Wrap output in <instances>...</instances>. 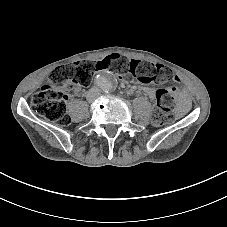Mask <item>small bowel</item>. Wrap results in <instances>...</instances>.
Wrapping results in <instances>:
<instances>
[{"mask_svg": "<svg viewBox=\"0 0 227 227\" xmlns=\"http://www.w3.org/2000/svg\"><path fill=\"white\" fill-rule=\"evenodd\" d=\"M178 80V77H176ZM141 90L148 95L151 99L156 100V91L150 87H142ZM179 102H180V111H185L187 110L188 107V100L186 97L185 93H182L179 97Z\"/></svg>", "mask_w": 227, "mask_h": 227, "instance_id": "small-bowel-1", "label": "small bowel"}]
</instances>
